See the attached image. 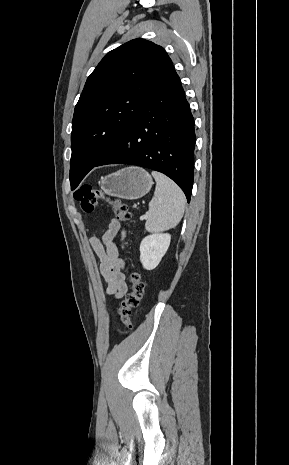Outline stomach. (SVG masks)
I'll use <instances>...</instances> for the list:
<instances>
[{"instance_id":"stomach-1","label":"stomach","mask_w":289,"mask_h":465,"mask_svg":"<svg viewBox=\"0 0 289 465\" xmlns=\"http://www.w3.org/2000/svg\"><path fill=\"white\" fill-rule=\"evenodd\" d=\"M99 183L107 195L127 200L143 197L153 185L152 178L147 171L133 166L109 174Z\"/></svg>"}]
</instances>
